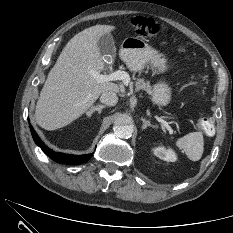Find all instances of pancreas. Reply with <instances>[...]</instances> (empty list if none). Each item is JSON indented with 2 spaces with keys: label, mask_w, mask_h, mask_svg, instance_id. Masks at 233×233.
<instances>
[{
  "label": "pancreas",
  "mask_w": 233,
  "mask_h": 233,
  "mask_svg": "<svg viewBox=\"0 0 233 233\" xmlns=\"http://www.w3.org/2000/svg\"><path fill=\"white\" fill-rule=\"evenodd\" d=\"M135 89L136 90H144L146 91L148 94H152L153 93V89L150 85L149 81H145L144 79H138L135 82Z\"/></svg>",
  "instance_id": "obj_1"
}]
</instances>
